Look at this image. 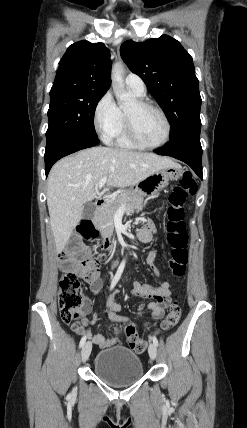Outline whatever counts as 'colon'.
I'll return each mask as SVG.
<instances>
[{"instance_id":"1","label":"colon","mask_w":247,"mask_h":428,"mask_svg":"<svg viewBox=\"0 0 247 428\" xmlns=\"http://www.w3.org/2000/svg\"><path fill=\"white\" fill-rule=\"evenodd\" d=\"M197 191V184L193 176L185 173L179 182L173 188L168 197V223H167V241L171 248V257L169 259V268L171 275L175 278L181 277L186 270L188 262L187 234L185 232L184 204L189 196H193ZM77 233L82 243H89L96 236V230L89 221L82 222ZM77 243H73L71 249L65 250L60 255L61 264L65 271L62 273L59 281V308L62 320L69 325L79 323L78 320L85 315L86 302L84 292L79 278L75 271V256ZM83 267L86 271L88 281H94L98 277V261L93 257H87L83 260ZM151 320L149 323L161 324V330L168 331L172 329L180 320L181 305L175 298L169 307L168 301L158 298L149 303ZM145 305L141 301L136 305V315L144 313ZM166 315V310H168ZM127 333V343L129 347L137 353L146 350L147 343L139 339V332L134 325L128 324L125 327Z\"/></svg>"}]
</instances>
